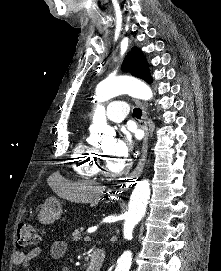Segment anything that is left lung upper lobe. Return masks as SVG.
<instances>
[{"mask_svg": "<svg viewBox=\"0 0 221 271\" xmlns=\"http://www.w3.org/2000/svg\"><path fill=\"white\" fill-rule=\"evenodd\" d=\"M122 70L124 72H130L133 76L141 78L148 83H152L149 65L142 51L137 47H133L125 57Z\"/></svg>", "mask_w": 221, "mask_h": 271, "instance_id": "obj_1", "label": "left lung upper lobe"}]
</instances>
